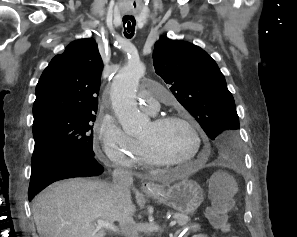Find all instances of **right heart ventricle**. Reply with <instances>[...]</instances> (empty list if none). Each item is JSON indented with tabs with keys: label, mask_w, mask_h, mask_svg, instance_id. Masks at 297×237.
I'll return each instance as SVG.
<instances>
[{
	"label": "right heart ventricle",
	"mask_w": 297,
	"mask_h": 237,
	"mask_svg": "<svg viewBox=\"0 0 297 237\" xmlns=\"http://www.w3.org/2000/svg\"><path fill=\"white\" fill-rule=\"evenodd\" d=\"M139 164L141 165H152L151 162L148 160L146 152L143 148V146L140 144V150H139Z\"/></svg>",
	"instance_id": "1"
}]
</instances>
